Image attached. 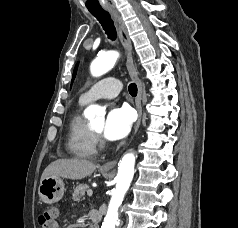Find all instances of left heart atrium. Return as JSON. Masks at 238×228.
<instances>
[{
	"label": "left heart atrium",
	"mask_w": 238,
	"mask_h": 228,
	"mask_svg": "<svg viewBox=\"0 0 238 228\" xmlns=\"http://www.w3.org/2000/svg\"><path fill=\"white\" fill-rule=\"evenodd\" d=\"M133 120V113L128 107L111 108L103 126L104 137L110 141L123 139L130 132Z\"/></svg>",
	"instance_id": "obj_1"
}]
</instances>
